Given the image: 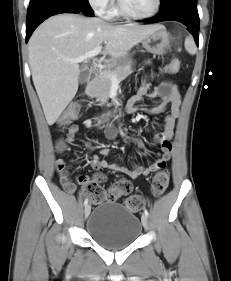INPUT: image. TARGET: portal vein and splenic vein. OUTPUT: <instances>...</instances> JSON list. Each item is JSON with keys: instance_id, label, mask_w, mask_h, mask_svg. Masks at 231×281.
Returning a JSON list of instances; mask_svg holds the SVG:
<instances>
[{"instance_id": "portal-vein-and-splenic-vein-1", "label": "portal vein and splenic vein", "mask_w": 231, "mask_h": 281, "mask_svg": "<svg viewBox=\"0 0 231 281\" xmlns=\"http://www.w3.org/2000/svg\"><path fill=\"white\" fill-rule=\"evenodd\" d=\"M101 50H102V46H98L95 49H93L92 51L86 53L85 55H82V56H80L76 59L69 60V62L80 63V62L85 61L89 58L95 57L96 55H98L101 52ZM110 78L113 82H117V79H116L115 75H110Z\"/></svg>"}]
</instances>
